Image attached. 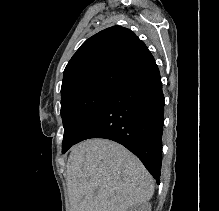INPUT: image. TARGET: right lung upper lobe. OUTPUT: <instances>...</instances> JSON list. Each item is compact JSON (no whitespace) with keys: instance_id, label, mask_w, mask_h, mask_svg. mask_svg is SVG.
<instances>
[{"instance_id":"obj_1","label":"right lung upper lobe","mask_w":219,"mask_h":211,"mask_svg":"<svg viewBox=\"0 0 219 211\" xmlns=\"http://www.w3.org/2000/svg\"><path fill=\"white\" fill-rule=\"evenodd\" d=\"M146 45L129 29L113 26L87 39L64 70L61 100L97 84L117 85L153 62Z\"/></svg>"}]
</instances>
